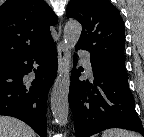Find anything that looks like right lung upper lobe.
Listing matches in <instances>:
<instances>
[{
	"mask_svg": "<svg viewBox=\"0 0 144 137\" xmlns=\"http://www.w3.org/2000/svg\"><path fill=\"white\" fill-rule=\"evenodd\" d=\"M57 16L44 0H7L0 6V69L46 45Z\"/></svg>",
	"mask_w": 144,
	"mask_h": 137,
	"instance_id": "cb5924a9",
	"label": "right lung upper lobe"
}]
</instances>
